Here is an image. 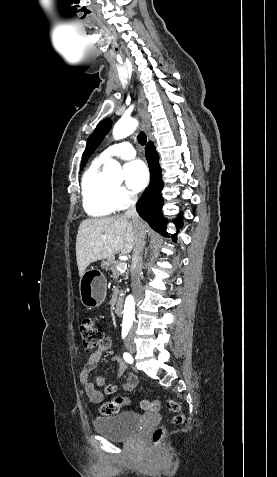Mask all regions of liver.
Returning a JSON list of instances; mask_svg holds the SVG:
<instances>
[{"label": "liver", "mask_w": 277, "mask_h": 477, "mask_svg": "<svg viewBox=\"0 0 277 477\" xmlns=\"http://www.w3.org/2000/svg\"><path fill=\"white\" fill-rule=\"evenodd\" d=\"M145 233V225L141 222ZM137 228L125 215L83 220L76 237V260L80 277L93 262L117 253L129 254L135 247Z\"/></svg>", "instance_id": "1"}]
</instances>
